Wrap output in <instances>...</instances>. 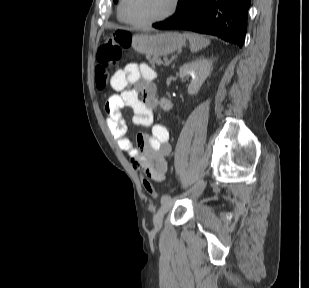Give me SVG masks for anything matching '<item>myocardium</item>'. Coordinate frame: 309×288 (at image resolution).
Returning a JSON list of instances; mask_svg holds the SVG:
<instances>
[{
	"mask_svg": "<svg viewBox=\"0 0 309 288\" xmlns=\"http://www.w3.org/2000/svg\"><path fill=\"white\" fill-rule=\"evenodd\" d=\"M125 4H126V0H120V15L123 21L127 23L128 25L136 27V28H145V27H150V26L159 24L169 19L170 17H172L178 10L179 0H171V5H170L169 10L163 15L157 18L147 20V21H142V22L133 21L127 16L126 11H125Z\"/></svg>",
	"mask_w": 309,
	"mask_h": 288,
	"instance_id": "f54148a6",
	"label": "myocardium"
}]
</instances>
